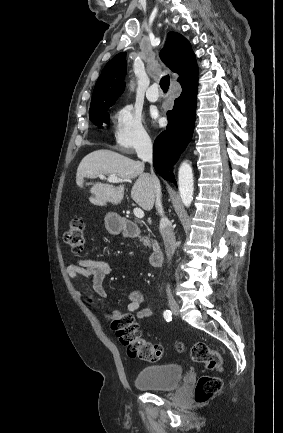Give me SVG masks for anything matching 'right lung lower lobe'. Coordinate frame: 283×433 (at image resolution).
I'll use <instances>...</instances> for the list:
<instances>
[{"label":"right lung lower lobe","mask_w":283,"mask_h":433,"mask_svg":"<svg viewBox=\"0 0 283 433\" xmlns=\"http://www.w3.org/2000/svg\"><path fill=\"white\" fill-rule=\"evenodd\" d=\"M182 93L167 112L168 126L154 142L153 165L164 179L175 182L168 172L192 138L197 103L198 77L181 84Z\"/></svg>","instance_id":"right-lung-lower-lobe-1"}]
</instances>
